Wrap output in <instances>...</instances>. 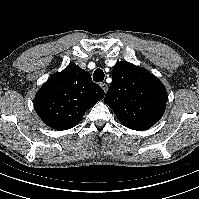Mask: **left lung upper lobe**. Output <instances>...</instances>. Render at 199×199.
Here are the masks:
<instances>
[{"label":"left lung upper lobe","mask_w":199,"mask_h":199,"mask_svg":"<svg viewBox=\"0 0 199 199\" xmlns=\"http://www.w3.org/2000/svg\"><path fill=\"white\" fill-rule=\"evenodd\" d=\"M168 96L164 85L144 68L118 62L104 102L122 124L133 130L152 127L164 114Z\"/></svg>","instance_id":"obj_1"}]
</instances>
